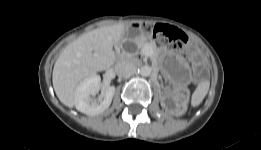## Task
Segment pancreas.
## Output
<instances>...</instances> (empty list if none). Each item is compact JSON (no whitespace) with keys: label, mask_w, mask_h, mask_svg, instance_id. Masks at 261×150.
Returning <instances> with one entry per match:
<instances>
[{"label":"pancreas","mask_w":261,"mask_h":150,"mask_svg":"<svg viewBox=\"0 0 261 150\" xmlns=\"http://www.w3.org/2000/svg\"><path fill=\"white\" fill-rule=\"evenodd\" d=\"M136 44H137L138 48L140 49L141 54H143V50L146 46H149L151 48V51L146 54H147V56L150 57L153 65H155L157 62V56L155 54V52H156L155 44L153 42L148 41L146 38H140V39L136 40Z\"/></svg>","instance_id":"cf45deb5"}]
</instances>
